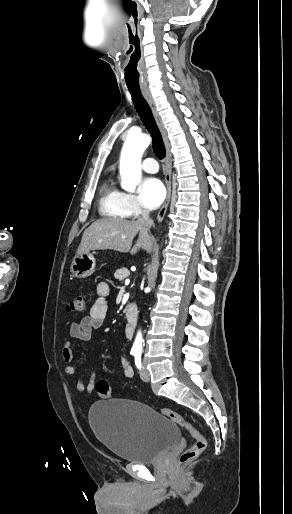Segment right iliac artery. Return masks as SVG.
Here are the masks:
<instances>
[{"label":"right iliac artery","mask_w":292,"mask_h":514,"mask_svg":"<svg viewBox=\"0 0 292 514\" xmlns=\"http://www.w3.org/2000/svg\"><path fill=\"white\" fill-rule=\"evenodd\" d=\"M131 354H132V355H136L137 353H136V352H134V351H132V352H131Z\"/></svg>","instance_id":"right-iliac-artery-1"}]
</instances>
